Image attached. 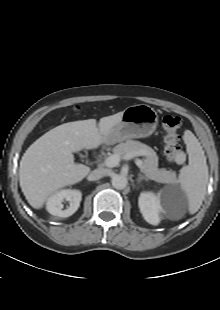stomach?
I'll return each instance as SVG.
<instances>
[{
	"label": "stomach",
	"instance_id": "1",
	"mask_svg": "<svg viewBox=\"0 0 220 310\" xmlns=\"http://www.w3.org/2000/svg\"><path fill=\"white\" fill-rule=\"evenodd\" d=\"M158 114L149 105L138 104L127 107L120 121L108 136V143L120 142L128 138H145L157 128Z\"/></svg>",
	"mask_w": 220,
	"mask_h": 310
}]
</instances>
